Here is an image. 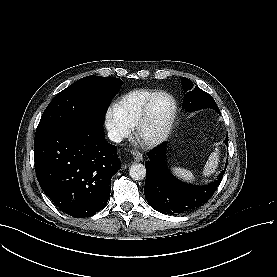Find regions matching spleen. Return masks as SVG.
Returning <instances> with one entry per match:
<instances>
[{"mask_svg": "<svg viewBox=\"0 0 277 277\" xmlns=\"http://www.w3.org/2000/svg\"><path fill=\"white\" fill-rule=\"evenodd\" d=\"M219 162V153L218 149L216 148L215 152H212L204 166L203 174L205 176H209L215 172V169L218 166ZM172 172L179 178L192 182L194 181L195 177L191 171H188L186 169L180 168V167H174L171 169Z\"/></svg>", "mask_w": 277, "mask_h": 277, "instance_id": "3e777b00", "label": "spleen"}]
</instances>
